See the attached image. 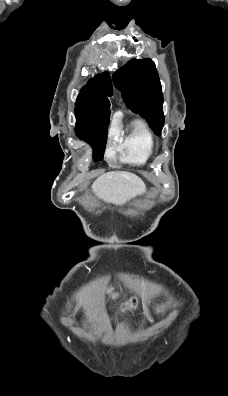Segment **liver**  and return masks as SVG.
<instances>
[{
	"label": "liver",
	"mask_w": 228,
	"mask_h": 396,
	"mask_svg": "<svg viewBox=\"0 0 228 396\" xmlns=\"http://www.w3.org/2000/svg\"><path fill=\"white\" fill-rule=\"evenodd\" d=\"M93 192L107 203L121 205L145 193V183L135 174L111 171L99 176L92 185Z\"/></svg>",
	"instance_id": "obj_1"
}]
</instances>
